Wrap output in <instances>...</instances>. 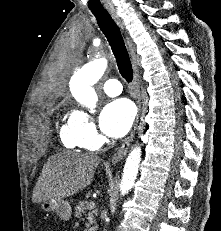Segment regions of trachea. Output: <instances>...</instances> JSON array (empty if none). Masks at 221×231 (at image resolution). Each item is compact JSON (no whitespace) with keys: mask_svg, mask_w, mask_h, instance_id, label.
Returning <instances> with one entry per match:
<instances>
[{"mask_svg":"<svg viewBox=\"0 0 221 231\" xmlns=\"http://www.w3.org/2000/svg\"><path fill=\"white\" fill-rule=\"evenodd\" d=\"M92 13L96 17L101 31L110 44L121 76L127 82H131L133 79V69L123 37L117 24L106 10H92Z\"/></svg>","mask_w":221,"mask_h":231,"instance_id":"trachea-1","label":"trachea"}]
</instances>
